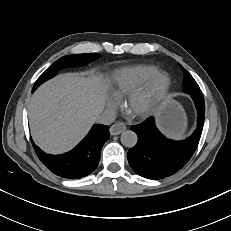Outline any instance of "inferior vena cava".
Returning a JSON list of instances; mask_svg holds the SVG:
<instances>
[{
  "instance_id": "inferior-vena-cava-1",
  "label": "inferior vena cava",
  "mask_w": 231,
  "mask_h": 231,
  "mask_svg": "<svg viewBox=\"0 0 231 231\" xmlns=\"http://www.w3.org/2000/svg\"><path fill=\"white\" fill-rule=\"evenodd\" d=\"M116 118V114L112 110H106L98 117V122L104 125H110Z\"/></svg>"
}]
</instances>
